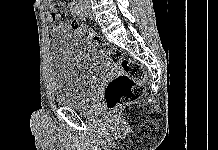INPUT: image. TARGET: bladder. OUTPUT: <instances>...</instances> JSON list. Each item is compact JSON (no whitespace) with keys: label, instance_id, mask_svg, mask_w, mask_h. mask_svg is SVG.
Here are the masks:
<instances>
[{"label":"bladder","instance_id":"obj_1","mask_svg":"<svg viewBox=\"0 0 218 150\" xmlns=\"http://www.w3.org/2000/svg\"><path fill=\"white\" fill-rule=\"evenodd\" d=\"M52 54L57 67L54 98L62 107L87 106L115 68L87 39L68 31L55 34Z\"/></svg>","mask_w":218,"mask_h":150}]
</instances>
